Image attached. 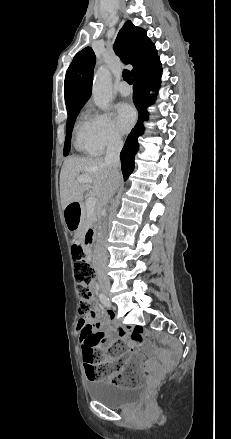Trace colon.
<instances>
[{
    "label": "colon",
    "instance_id": "obj_1",
    "mask_svg": "<svg viewBox=\"0 0 231 439\" xmlns=\"http://www.w3.org/2000/svg\"><path fill=\"white\" fill-rule=\"evenodd\" d=\"M73 272L76 281V288L79 295V312L86 315L91 311V289L90 286L95 278V271L89 264L82 248L74 244L72 246ZM123 351L120 343L114 344L108 350L111 356H118ZM103 355L97 348L87 347L83 352L85 371L89 380L100 381L109 378L111 382L121 386H133L138 378L132 368H121L111 373L115 364L111 361H103ZM152 384H149L146 397L152 391Z\"/></svg>",
    "mask_w": 231,
    "mask_h": 439
}]
</instances>
